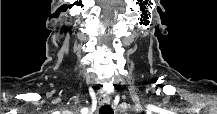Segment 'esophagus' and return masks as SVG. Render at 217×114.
Here are the masks:
<instances>
[{
	"label": "esophagus",
	"mask_w": 217,
	"mask_h": 114,
	"mask_svg": "<svg viewBox=\"0 0 217 114\" xmlns=\"http://www.w3.org/2000/svg\"><path fill=\"white\" fill-rule=\"evenodd\" d=\"M110 102H111V98L108 95L99 96V104L100 105L110 104Z\"/></svg>",
	"instance_id": "obj_1"
}]
</instances>
